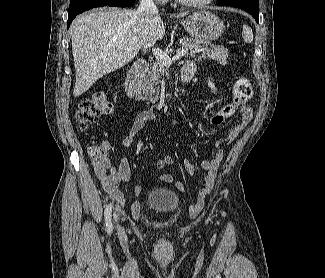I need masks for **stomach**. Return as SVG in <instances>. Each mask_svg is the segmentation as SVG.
I'll list each match as a JSON object with an SVG mask.
<instances>
[{
  "mask_svg": "<svg viewBox=\"0 0 325 278\" xmlns=\"http://www.w3.org/2000/svg\"><path fill=\"white\" fill-rule=\"evenodd\" d=\"M182 25L189 35L200 41L216 40L224 32L223 21L215 14L205 10L193 12L182 21Z\"/></svg>",
  "mask_w": 325,
  "mask_h": 278,
  "instance_id": "stomach-1",
  "label": "stomach"
}]
</instances>
